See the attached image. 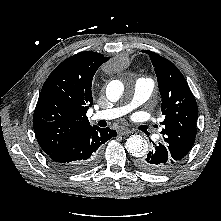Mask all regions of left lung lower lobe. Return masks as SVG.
<instances>
[{
    "mask_svg": "<svg viewBox=\"0 0 221 221\" xmlns=\"http://www.w3.org/2000/svg\"><path fill=\"white\" fill-rule=\"evenodd\" d=\"M179 164L174 154L164 142L157 144L153 143L151 151L139 157L136 161V165L141 170L152 174L168 173L176 169Z\"/></svg>",
    "mask_w": 221,
    "mask_h": 221,
    "instance_id": "1",
    "label": "left lung lower lobe"
}]
</instances>
